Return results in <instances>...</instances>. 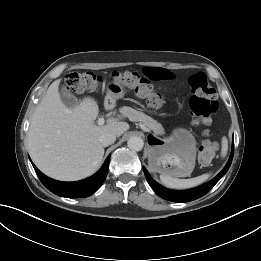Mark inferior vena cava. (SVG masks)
<instances>
[{"label": "inferior vena cava", "mask_w": 261, "mask_h": 261, "mask_svg": "<svg viewBox=\"0 0 261 261\" xmlns=\"http://www.w3.org/2000/svg\"><path fill=\"white\" fill-rule=\"evenodd\" d=\"M116 140V135L112 132L105 133L100 136L99 142L101 143L102 146L107 147L111 144H113Z\"/></svg>", "instance_id": "602c4592"}]
</instances>
